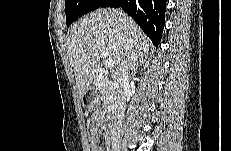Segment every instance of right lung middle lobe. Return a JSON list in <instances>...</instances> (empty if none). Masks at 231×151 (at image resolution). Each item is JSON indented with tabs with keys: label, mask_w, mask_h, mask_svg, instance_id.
I'll return each instance as SVG.
<instances>
[{
	"label": "right lung middle lobe",
	"mask_w": 231,
	"mask_h": 151,
	"mask_svg": "<svg viewBox=\"0 0 231 151\" xmlns=\"http://www.w3.org/2000/svg\"><path fill=\"white\" fill-rule=\"evenodd\" d=\"M106 0H66V24L69 26L79 16L102 7Z\"/></svg>",
	"instance_id": "obj_1"
}]
</instances>
